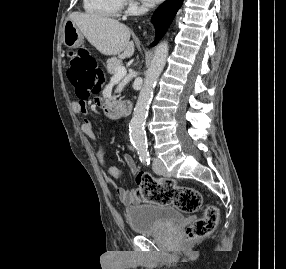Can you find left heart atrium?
Listing matches in <instances>:
<instances>
[{"mask_svg": "<svg viewBox=\"0 0 286 269\" xmlns=\"http://www.w3.org/2000/svg\"><path fill=\"white\" fill-rule=\"evenodd\" d=\"M142 1L148 5H155L157 3H160L162 0H142Z\"/></svg>", "mask_w": 286, "mask_h": 269, "instance_id": "39dd6f15", "label": "left heart atrium"}]
</instances>
